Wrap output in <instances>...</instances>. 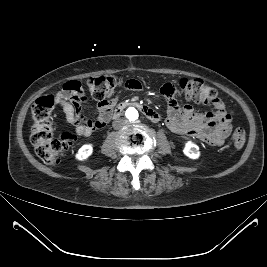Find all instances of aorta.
I'll return each mask as SVG.
<instances>
[{
	"label": "aorta",
	"instance_id": "762f6f07",
	"mask_svg": "<svg viewBox=\"0 0 267 267\" xmlns=\"http://www.w3.org/2000/svg\"><path fill=\"white\" fill-rule=\"evenodd\" d=\"M126 118L131 121H137L139 118V111L135 107H129L125 112Z\"/></svg>",
	"mask_w": 267,
	"mask_h": 267
}]
</instances>
